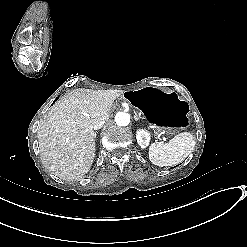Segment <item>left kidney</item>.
<instances>
[{
    "instance_id": "5707ae66",
    "label": "left kidney",
    "mask_w": 247,
    "mask_h": 247,
    "mask_svg": "<svg viewBox=\"0 0 247 247\" xmlns=\"http://www.w3.org/2000/svg\"><path fill=\"white\" fill-rule=\"evenodd\" d=\"M137 143L141 148H146L150 142V133L144 129H138L136 131Z\"/></svg>"
}]
</instances>
